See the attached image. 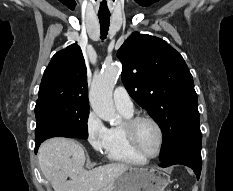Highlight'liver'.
I'll list each match as a JSON object with an SVG mask.
<instances>
[{
	"label": "liver",
	"mask_w": 233,
	"mask_h": 191,
	"mask_svg": "<svg viewBox=\"0 0 233 191\" xmlns=\"http://www.w3.org/2000/svg\"><path fill=\"white\" fill-rule=\"evenodd\" d=\"M38 160L54 191H101L130 167L124 163H111L85 170L84 147L63 137L45 141L39 148Z\"/></svg>",
	"instance_id": "liver-1"
}]
</instances>
